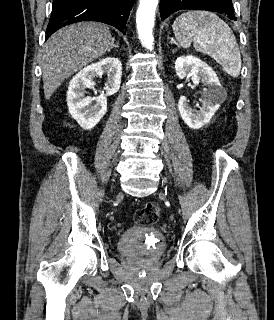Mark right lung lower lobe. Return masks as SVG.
Wrapping results in <instances>:
<instances>
[{"mask_svg": "<svg viewBox=\"0 0 274 320\" xmlns=\"http://www.w3.org/2000/svg\"><path fill=\"white\" fill-rule=\"evenodd\" d=\"M134 0H53L46 40L65 25L80 21H99L125 34V25Z\"/></svg>", "mask_w": 274, "mask_h": 320, "instance_id": "98d812e1", "label": "right lung lower lobe"}]
</instances>
